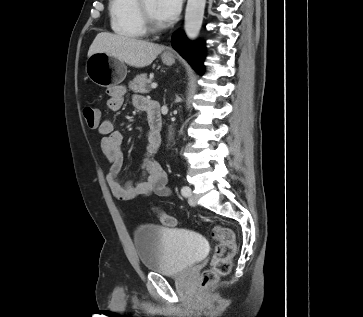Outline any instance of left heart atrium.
I'll use <instances>...</instances> for the list:
<instances>
[{"label":"left heart atrium","mask_w":363,"mask_h":317,"mask_svg":"<svg viewBox=\"0 0 363 317\" xmlns=\"http://www.w3.org/2000/svg\"><path fill=\"white\" fill-rule=\"evenodd\" d=\"M182 0H156L157 15L163 23L172 22L180 12Z\"/></svg>","instance_id":"39dd6f15"}]
</instances>
